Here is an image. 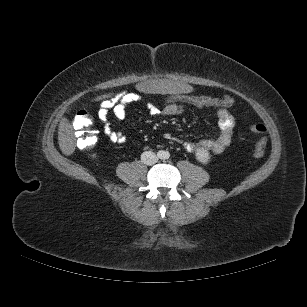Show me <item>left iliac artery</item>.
<instances>
[{
	"mask_svg": "<svg viewBox=\"0 0 307 307\" xmlns=\"http://www.w3.org/2000/svg\"><path fill=\"white\" fill-rule=\"evenodd\" d=\"M170 157V154L168 152L165 153L164 158L168 159Z\"/></svg>",
	"mask_w": 307,
	"mask_h": 307,
	"instance_id": "left-iliac-artery-1",
	"label": "left iliac artery"
}]
</instances>
